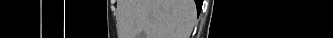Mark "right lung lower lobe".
<instances>
[{"mask_svg": "<svg viewBox=\"0 0 333 38\" xmlns=\"http://www.w3.org/2000/svg\"><path fill=\"white\" fill-rule=\"evenodd\" d=\"M195 2H196V5H197V7H198V5H200V3H198L196 0H195Z\"/></svg>", "mask_w": 333, "mask_h": 38, "instance_id": "98d812e1", "label": "right lung lower lobe"}]
</instances>
